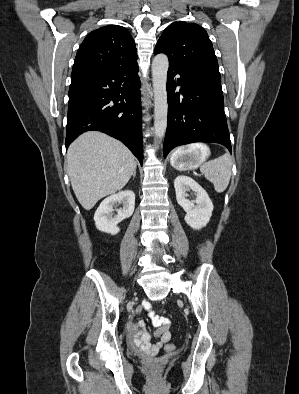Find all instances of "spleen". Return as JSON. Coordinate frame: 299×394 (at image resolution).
<instances>
[{
    "label": "spleen",
    "instance_id": "obj_1",
    "mask_svg": "<svg viewBox=\"0 0 299 394\" xmlns=\"http://www.w3.org/2000/svg\"><path fill=\"white\" fill-rule=\"evenodd\" d=\"M205 148L203 144H192L189 149ZM232 159L230 154L225 153L215 160L204 163L200 167V171L204 174L205 178L214 185V189L217 193H222L226 190L229 185L231 177Z\"/></svg>",
    "mask_w": 299,
    "mask_h": 394
}]
</instances>
